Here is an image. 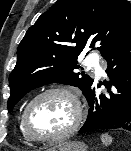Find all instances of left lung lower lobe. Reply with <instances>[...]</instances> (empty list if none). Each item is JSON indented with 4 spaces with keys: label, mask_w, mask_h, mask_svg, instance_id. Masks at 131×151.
<instances>
[{
    "label": "left lung lower lobe",
    "mask_w": 131,
    "mask_h": 151,
    "mask_svg": "<svg viewBox=\"0 0 131 151\" xmlns=\"http://www.w3.org/2000/svg\"><path fill=\"white\" fill-rule=\"evenodd\" d=\"M105 60L110 81L97 86L93 82L85 95L90 108L81 133L95 129L131 131V39L109 52ZM100 85L106 87V92L96 93Z\"/></svg>",
    "instance_id": "0a47b994"
}]
</instances>
